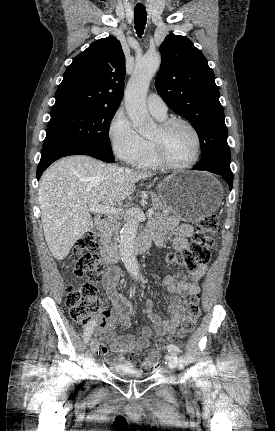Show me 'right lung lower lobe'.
<instances>
[{"mask_svg":"<svg viewBox=\"0 0 275 431\" xmlns=\"http://www.w3.org/2000/svg\"><path fill=\"white\" fill-rule=\"evenodd\" d=\"M69 155H89L105 162H114L115 160L112 152L89 143L72 141L47 143L42 147L41 160L37 167V179L39 180L42 173L51 163Z\"/></svg>","mask_w":275,"mask_h":431,"instance_id":"98d812e1","label":"right lung lower lobe"}]
</instances>
